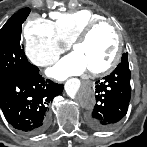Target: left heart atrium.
<instances>
[{
    "label": "left heart atrium",
    "instance_id": "obj_1",
    "mask_svg": "<svg viewBox=\"0 0 147 147\" xmlns=\"http://www.w3.org/2000/svg\"><path fill=\"white\" fill-rule=\"evenodd\" d=\"M86 70V66L81 57L76 52H73L62 58L49 69L48 75L57 80H65L70 76L81 75Z\"/></svg>",
    "mask_w": 147,
    "mask_h": 147
}]
</instances>
